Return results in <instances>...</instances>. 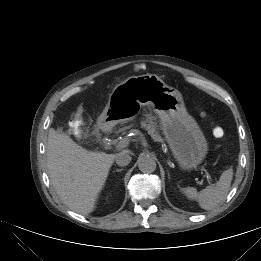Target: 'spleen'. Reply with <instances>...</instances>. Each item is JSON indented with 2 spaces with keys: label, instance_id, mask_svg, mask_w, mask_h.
Returning <instances> with one entry per match:
<instances>
[{
  "label": "spleen",
  "instance_id": "obj_1",
  "mask_svg": "<svg viewBox=\"0 0 261 261\" xmlns=\"http://www.w3.org/2000/svg\"><path fill=\"white\" fill-rule=\"evenodd\" d=\"M233 178V170H225L215 186H208L200 192L193 187L184 190V194L192 200H196L199 206L204 210H212L216 208L228 195L231 181Z\"/></svg>",
  "mask_w": 261,
  "mask_h": 261
}]
</instances>
